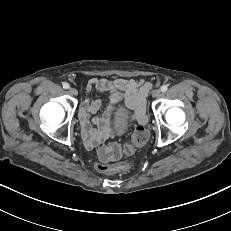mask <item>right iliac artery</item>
<instances>
[{
  "instance_id": "82829eb1",
  "label": "right iliac artery",
  "mask_w": 231,
  "mask_h": 231,
  "mask_svg": "<svg viewBox=\"0 0 231 231\" xmlns=\"http://www.w3.org/2000/svg\"><path fill=\"white\" fill-rule=\"evenodd\" d=\"M63 88H64V89H69V88H70V85H69L68 83L65 82V83H63Z\"/></svg>"
}]
</instances>
